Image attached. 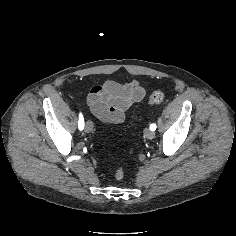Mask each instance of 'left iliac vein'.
<instances>
[{
	"instance_id": "obj_1",
	"label": "left iliac vein",
	"mask_w": 236,
	"mask_h": 236,
	"mask_svg": "<svg viewBox=\"0 0 236 236\" xmlns=\"http://www.w3.org/2000/svg\"><path fill=\"white\" fill-rule=\"evenodd\" d=\"M144 136L147 138V139H153L154 136H155V132L150 130V129H145L144 131Z\"/></svg>"
}]
</instances>
